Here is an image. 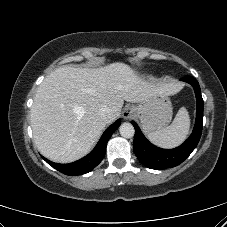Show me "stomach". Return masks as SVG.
<instances>
[{
  "label": "stomach",
  "mask_w": 227,
  "mask_h": 227,
  "mask_svg": "<svg viewBox=\"0 0 227 227\" xmlns=\"http://www.w3.org/2000/svg\"><path fill=\"white\" fill-rule=\"evenodd\" d=\"M133 108L146 134L166 127L172 118V105L165 94L154 95Z\"/></svg>",
  "instance_id": "0dacf381"
}]
</instances>
